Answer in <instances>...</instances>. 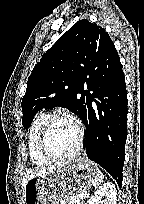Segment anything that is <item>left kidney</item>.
I'll use <instances>...</instances> for the list:
<instances>
[{
    "mask_svg": "<svg viewBox=\"0 0 144 204\" xmlns=\"http://www.w3.org/2000/svg\"><path fill=\"white\" fill-rule=\"evenodd\" d=\"M117 191L113 183H105L99 188L87 204H116Z\"/></svg>",
    "mask_w": 144,
    "mask_h": 204,
    "instance_id": "1",
    "label": "left kidney"
}]
</instances>
